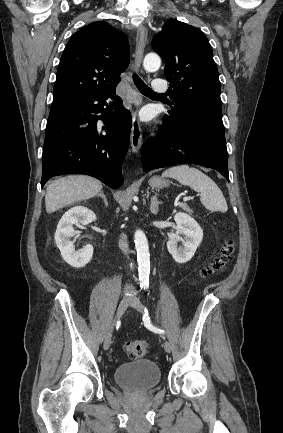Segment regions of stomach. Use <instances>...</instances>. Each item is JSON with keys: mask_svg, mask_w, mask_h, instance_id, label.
<instances>
[{"mask_svg": "<svg viewBox=\"0 0 283 433\" xmlns=\"http://www.w3.org/2000/svg\"><path fill=\"white\" fill-rule=\"evenodd\" d=\"M149 184L153 186V188H163V186H167L168 182L164 180V178H159V176H152L149 180Z\"/></svg>", "mask_w": 283, "mask_h": 433, "instance_id": "1", "label": "stomach"}]
</instances>
